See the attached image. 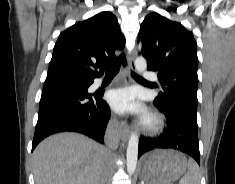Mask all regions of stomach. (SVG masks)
<instances>
[{"instance_id": "obj_1", "label": "stomach", "mask_w": 235, "mask_h": 184, "mask_svg": "<svg viewBox=\"0 0 235 184\" xmlns=\"http://www.w3.org/2000/svg\"><path fill=\"white\" fill-rule=\"evenodd\" d=\"M187 158L177 150H154L142 158L140 176L147 184H173L185 174Z\"/></svg>"}]
</instances>
